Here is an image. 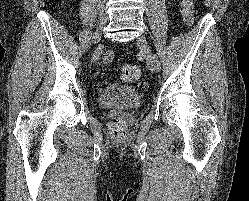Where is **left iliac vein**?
Masks as SVG:
<instances>
[{"label": "left iliac vein", "instance_id": "1", "mask_svg": "<svg viewBox=\"0 0 249 201\" xmlns=\"http://www.w3.org/2000/svg\"><path fill=\"white\" fill-rule=\"evenodd\" d=\"M137 44L141 50L142 55L145 57L147 65L152 72L157 71L153 56L151 54L150 46L147 39L144 36H140L137 40Z\"/></svg>", "mask_w": 249, "mask_h": 201}]
</instances>
